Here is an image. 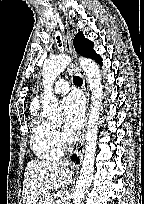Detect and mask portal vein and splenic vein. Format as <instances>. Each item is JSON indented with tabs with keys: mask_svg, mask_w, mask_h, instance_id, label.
I'll return each mask as SVG.
<instances>
[{
	"mask_svg": "<svg viewBox=\"0 0 144 204\" xmlns=\"http://www.w3.org/2000/svg\"><path fill=\"white\" fill-rule=\"evenodd\" d=\"M53 198L52 197H48L47 199H46V202H45V204H52L53 203Z\"/></svg>",
	"mask_w": 144,
	"mask_h": 204,
	"instance_id": "1",
	"label": "portal vein and splenic vein"
}]
</instances>
